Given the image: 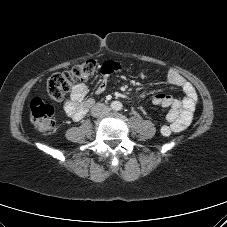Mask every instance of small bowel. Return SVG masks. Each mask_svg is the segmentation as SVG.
Returning <instances> with one entry per match:
<instances>
[{"label": "small bowel", "instance_id": "small-bowel-1", "mask_svg": "<svg viewBox=\"0 0 227 227\" xmlns=\"http://www.w3.org/2000/svg\"><path fill=\"white\" fill-rule=\"evenodd\" d=\"M119 69L120 65L116 62H106L102 65L103 77L96 89L97 94L104 92L108 76ZM167 78L171 85L179 87L184 92L185 97L179 100L162 93L155 94L152 97L154 105L168 109L166 115L168 125L161 128V133L164 136L184 131L190 125L198 103V95L194 86L182 75L175 70H170ZM87 92V86L78 83L72 88L69 98L65 101L64 111L73 120L82 119L94 104L93 98H86Z\"/></svg>", "mask_w": 227, "mask_h": 227}]
</instances>
